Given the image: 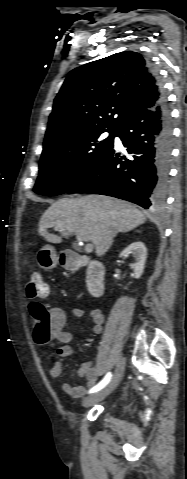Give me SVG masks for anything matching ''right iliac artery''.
Returning <instances> with one entry per match:
<instances>
[{
    "mask_svg": "<svg viewBox=\"0 0 187 479\" xmlns=\"http://www.w3.org/2000/svg\"><path fill=\"white\" fill-rule=\"evenodd\" d=\"M111 377H112V374L110 372L107 373V375L104 377V379L101 382H99L96 386L90 389L89 393H94L104 388L109 383Z\"/></svg>",
    "mask_w": 187,
    "mask_h": 479,
    "instance_id": "82829eb1",
    "label": "right iliac artery"
}]
</instances>
